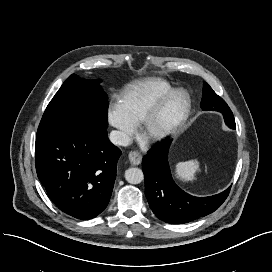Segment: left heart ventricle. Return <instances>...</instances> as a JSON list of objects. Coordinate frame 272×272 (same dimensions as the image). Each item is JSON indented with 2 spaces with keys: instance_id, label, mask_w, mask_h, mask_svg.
Masks as SVG:
<instances>
[{
  "instance_id": "obj_1",
  "label": "left heart ventricle",
  "mask_w": 272,
  "mask_h": 272,
  "mask_svg": "<svg viewBox=\"0 0 272 272\" xmlns=\"http://www.w3.org/2000/svg\"><path fill=\"white\" fill-rule=\"evenodd\" d=\"M166 117H167L168 119H172V118L174 117V112H173V110H169V111L167 112V114H166Z\"/></svg>"
}]
</instances>
